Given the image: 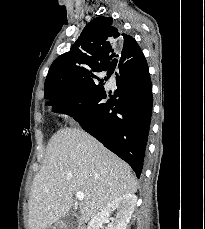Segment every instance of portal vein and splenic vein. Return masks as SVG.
I'll use <instances>...</instances> for the list:
<instances>
[{"mask_svg": "<svg viewBox=\"0 0 205 229\" xmlns=\"http://www.w3.org/2000/svg\"><path fill=\"white\" fill-rule=\"evenodd\" d=\"M76 198L79 200V201H82L84 199V193L83 192H76Z\"/></svg>", "mask_w": 205, "mask_h": 229, "instance_id": "obj_1", "label": "portal vein and splenic vein"}]
</instances>
